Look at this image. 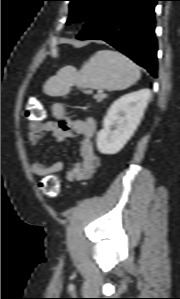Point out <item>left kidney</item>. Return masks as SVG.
<instances>
[{
  "label": "left kidney",
  "instance_id": "obj_1",
  "mask_svg": "<svg viewBox=\"0 0 180 299\" xmlns=\"http://www.w3.org/2000/svg\"><path fill=\"white\" fill-rule=\"evenodd\" d=\"M149 99L150 91L142 89L122 96L111 105L96 139L102 154H116L124 147L137 129Z\"/></svg>",
  "mask_w": 180,
  "mask_h": 299
}]
</instances>
